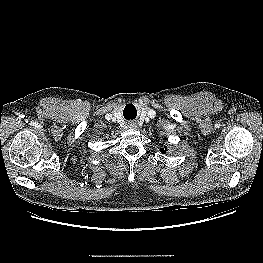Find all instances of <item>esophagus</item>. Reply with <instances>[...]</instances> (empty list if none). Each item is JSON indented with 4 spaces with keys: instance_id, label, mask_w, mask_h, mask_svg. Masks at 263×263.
Returning <instances> with one entry per match:
<instances>
[{
    "instance_id": "esophagus-1",
    "label": "esophagus",
    "mask_w": 263,
    "mask_h": 263,
    "mask_svg": "<svg viewBox=\"0 0 263 263\" xmlns=\"http://www.w3.org/2000/svg\"><path fill=\"white\" fill-rule=\"evenodd\" d=\"M130 126H131V127H134V123H130Z\"/></svg>"
}]
</instances>
